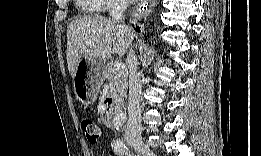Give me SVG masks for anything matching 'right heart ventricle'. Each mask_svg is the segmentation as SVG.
<instances>
[{
  "label": "right heart ventricle",
  "instance_id": "right-heart-ventricle-1",
  "mask_svg": "<svg viewBox=\"0 0 261 156\" xmlns=\"http://www.w3.org/2000/svg\"><path fill=\"white\" fill-rule=\"evenodd\" d=\"M97 1L96 0H80L78 4L84 7L85 9L92 10L94 9Z\"/></svg>",
  "mask_w": 261,
  "mask_h": 156
}]
</instances>
